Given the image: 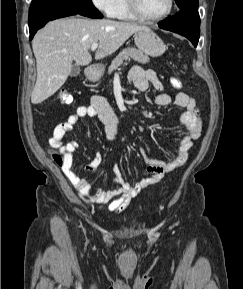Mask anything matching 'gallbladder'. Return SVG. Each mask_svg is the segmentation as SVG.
<instances>
[{"mask_svg": "<svg viewBox=\"0 0 243 289\" xmlns=\"http://www.w3.org/2000/svg\"><path fill=\"white\" fill-rule=\"evenodd\" d=\"M80 71H81L80 67L78 65H75V66L72 67L70 76L71 77H76L80 73Z\"/></svg>", "mask_w": 243, "mask_h": 289, "instance_id": "obj_1", "label": "gallbladder"}]
</instances>
